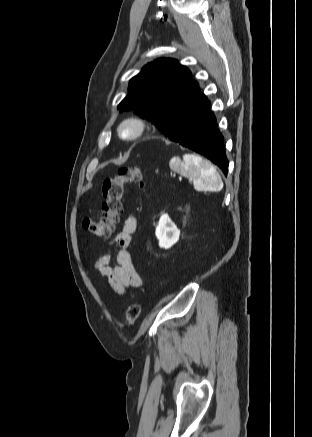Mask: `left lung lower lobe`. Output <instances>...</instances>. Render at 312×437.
<instances>
[{
    "label": "left lung lower lobe",
    "mask_w": 312,
    "mask_h": 437,
    "mask_svg": "<svg viewBox=\"0 0 312 437\" xmlns=\"http://www.w3.org/2000/svg\"><path fill=\"white\" fill-rule=\"evenodd\" d=\"M171 141L207 157L227 175L228 160L225 155L223 136L217 129L216 118L210 111L208 100L202 110Z\"/></svg>",
    "instance_id": "left-lung-lower-lobe-1"
}]
</instances>
